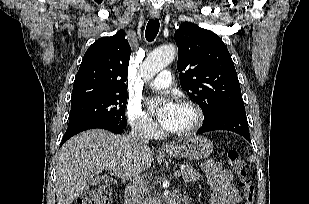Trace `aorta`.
<instances>
[{
    "instance_id": "obj_1",
    "label": "aorta",
    "mask_w": 309,
    "mask_h": 204,
    "mask_svg": "<svg viewBox=\"0 0 309 204\" xmlns=\"http://www.w3.org/2000/svg\"><path fill=\"white\" fill-rule=\"evenodd\" d=\"M173 45L162 46L151 52L140 67V74L145 82L150 81L154 76L167 67L175 57Z\"/></svg>"
}]
</instances>
